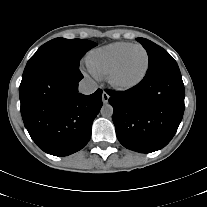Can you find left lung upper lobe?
Segmentation results:
<instances>
[{
	"label": "left lung upper lobe",
	"mask_w": 207,
	"mask_h": 207,
	"mask_svg": "<svg viewBox=\"0 0 207 207\" xmlns=\"http://www.w3.org/2000/svg\"><path fill=\"white\" fill-rule=\"evenodd\" d=\"M136 40L142 44L149 56L146 76L158 72L167 66L177 65L176 61L162 47L145 38H136Z\"/></svg>",
	"instance_id": "left-lung-upper-lobe-1"
}]
</instances>
